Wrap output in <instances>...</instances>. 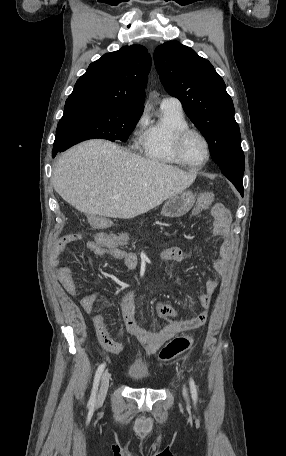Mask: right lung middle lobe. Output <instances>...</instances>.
<instances>
[{"instance_id":"dd1d6c3e","label":"right lung middle lobe","mask_w":286,"mask_h":456,"mask_svg":"<svg viewBox=\"0 0 286 456\" xmlns=\"http://www.w3.org/2000/svg\"><path fill=\"white\" fill-rule=\"evenodd\" d=\"M143 109L127 108L92 100L66 101L53 147L64 151L87 139L126 141Z\"/></svg>"}]
</instances>
